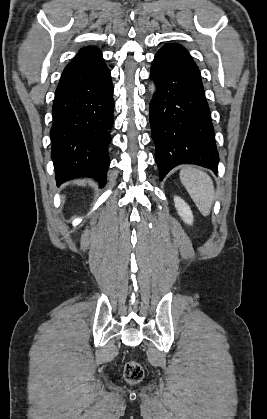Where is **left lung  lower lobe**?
Masks as SVG:
<instances>
[{
  "label": "left lung lower lobe",
  "instance_id": "left-lung-lower-lobe-1",
  "mask_svg": "<svg viewBox=\"0 0 267 419\" xmlns=\"http://www.w3.org/2000/svg\"><path fill=\"white\" fill-rule=\"evenodd\" d=\"M151 75L157 92L149 105L160 180L175 166L196 164L217 173L210 110L198 66L188 51L167 44L155 55Z\"/></svg>",
  "mask_w": 267,
  "mask_h": 419
}]
</instances>
